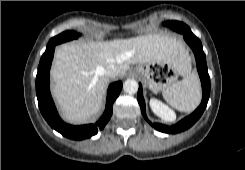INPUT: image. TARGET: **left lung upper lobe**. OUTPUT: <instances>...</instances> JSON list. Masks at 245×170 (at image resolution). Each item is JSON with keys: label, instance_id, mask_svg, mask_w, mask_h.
Wrapping results in <instances>:
<instances>
[{"label": "left lung upper lobe", "instance_id": "obj_1", "mask_svg": "<svg viewBox=\"0 0 245 170\" xmlns=\"http://www.w3.org/2000/svg\"><path fill=\"white\" fill-rule=\"evenodd\" d=\"M165 26H168L170 27L171 29L177 31V32H180V26H183L184 23L182 22H179V21H167V22H164L163 23ZM186 25V24H185Z\"/></svg>", "mask_w": 245, "mask_h": 170}]
</instances>
